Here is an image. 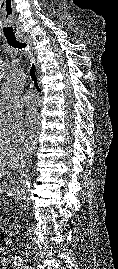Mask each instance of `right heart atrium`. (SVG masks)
<instances>
[{"instance_id": "right-heart-atrium-1", "label": "right heart atrium", "mask_w": 118, "mask_h": 269, "mask_svg": "<svg viewBox=\"0 0 118 269\" xmlns=\"http://www.w3.org/2000/svg\"><path fill=\"white\" fill-rule=\"evenodd\" d=\"M0 135L5 136L8 141L20 143L29 136V133L23 125L21 116L6 117L0 114Z\"/></svg>"}]
</instances>
